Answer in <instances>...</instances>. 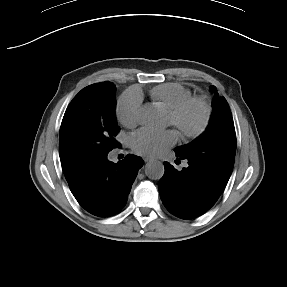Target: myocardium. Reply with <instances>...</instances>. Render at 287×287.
<instances>
[{
  "mask_svg": "<svg viewBox=\"0 0 287 287\" xmlns=\"http://www.w3.org/2000/svg\"><path fill=\"white\" fill-rule=\"evenodd\" d=\"M191 108L201 111V121L194 129H186L181 125V117ZM171 125L174 126L185 140L196 139L207 129L211 118V107L203 97H190L169 113Z\"/></svg>",
  "mask_w": 287,
  "mask_h": 287,
  "instance_id": "obj_1",
  "label": "myocardium"
}]
</instances>
